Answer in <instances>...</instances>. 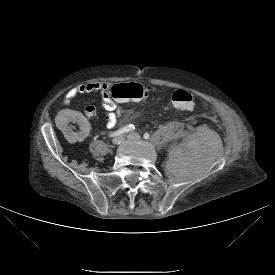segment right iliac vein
<instances>
[{
	"label": "right iliac vein",
	"mask_w": 275,
	"mask_h": 275,
	"mask_svg": "<svg viewBox=\"0 0 275 275\" xmlns=\"http://www.w3.org/2000/svg\"><path fill=\"white\" fill-rule=\"evenodd\" d=\"M123 141H124V137L123 136H118V137H115L113 139L112 143L114 145H120Z\"/></svg>",
	"instance_id": "obj_1"
}]
</instances>
